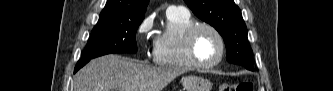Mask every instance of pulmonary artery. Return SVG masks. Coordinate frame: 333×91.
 <instances>
[{
  "label": "pulmonary artery",
  "mask_w": 333,
  "mask_h": 91,
  "mask_svg": "<svg viewBox=\"0 0 333 91\" xmlns=\"http://www.w3.org/2000/svg\"><path fill=\"white\" fill-rule=\"evenodd\" d=\"M175 11H180V12H188L184 7L182 6H170L167 9V12H175Z\"/></svg>",
  "instance_id": "obj_1"
}]
</instances>
